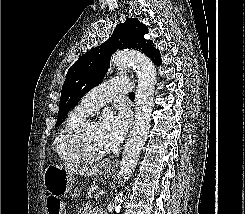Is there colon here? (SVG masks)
<instances>
[{"instance_id":"obj_1","label":"colon","mask_w":245,"mask_h":214,"mask_svg":"<svg viewBox=\"0 0 245 214\" xmlns=\"http://www.w3.org/2000/svg\"><path fill=\"white\" fill-rule=\"evenodd\" d=\"M50 214H62L61 203L58 199L50 198L48 200Z\"/></svg>"}]
</instances>
